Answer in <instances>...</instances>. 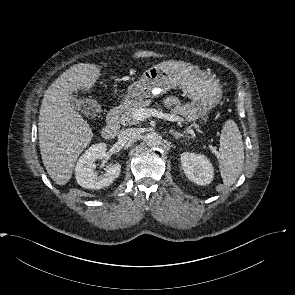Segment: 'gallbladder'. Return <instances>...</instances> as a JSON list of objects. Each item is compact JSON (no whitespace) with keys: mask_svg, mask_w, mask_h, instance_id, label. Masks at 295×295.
Instances as JSON below:
<instances>
[{"mask_svg":"<svg viewBox=\"0 0 295 295\" xmlns=\"http://www.w3.org/2000/svg\"><path fill=\"white\" fill-rule=\"evenodd\" d=\"M70 103L74 106V108L76 110H81L80 104L78 103V101L75 98H72L70 100Z\"/></svg>","mask_w":295,"mask_h":295,"instance_id":"1","label":"gallbladder"}]
</instances>
